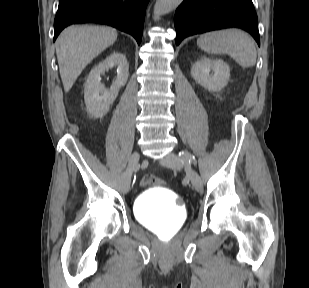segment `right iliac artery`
<instances>
[{
  "mask_svg": "<svg viewBox=\"0 0 309 288\" xmlns=\"http://www.w3.org/2000/svg\"><path fill=\"white\" fill-rule=\"evenodd\" d=\"M129 167H130V166H129ZM133 167H134V168H139V163H137V162L134 163V164H133Z\"/></svg>",
  "mask_w": 309,
  "mask_h": 288,
  "instance_id": "82829eb1",
  "label": "right iliac artery"
}]
</instances>
